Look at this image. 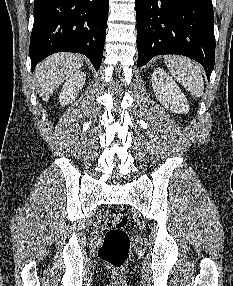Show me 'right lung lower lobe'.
<instances>
[{
    "label": "right lung lower lobe",
    "instance_id": "98d812e1",
    "mask_svg": "<svg viewBox=\"0 0 233 286\" xmlns=\"http://www.w3.org/2000/svg\"><path fill=\"white\" fill-rule=\"evenodd\" d=\"M109 0H35L29 54L32 72L56 52L86 55L101 66Z\"/></svg>",
    "mask_w": 233,
    "mask_h": 286
}]
</instances>
